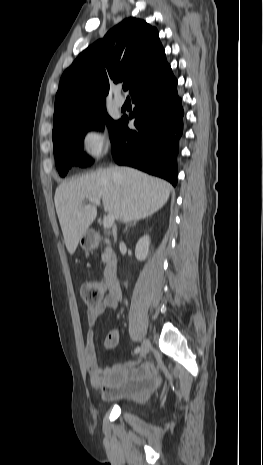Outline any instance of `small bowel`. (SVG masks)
I'll list each match as a JSON object with an SVG mask.
<instances>
[{"instance_id":"obj_1","label":"small bowel","mask_w":263,"mask_h":465,"mask_svg":"<svg viewBox=\"0 0 263 465\" xmlns=\"http://www.w3.org/2000/svg\"><path fill=\"white\" fill-rule=\"evenodd\" d=\"M119 300L120 296L109 293L100 303L90 306L87 310L89 330L87 331L84 347L86 368L92 386L99 389L105 399L143 396L158 385L155 367L150 362H144L138 366L119 364L106 371H103L99 366L92 328L106 309H115L117 307ZM118 341L119 335L116 331H113L106 337L105 346L113 350L116 348Z\"/></svg>"}]
</instances>
